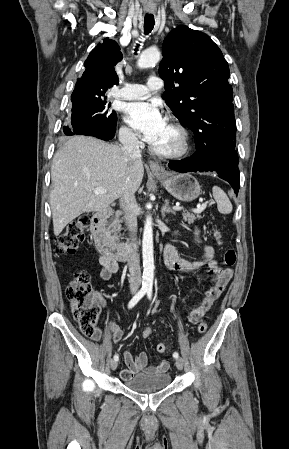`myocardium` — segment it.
Instances as JSON below:
<instances>
[{"label": "myocardium", "instance_id": "myocardium-1", "mask_svg": "<svg viewBox=\"0 0 289 449\" xmlns=\"http://www.w3.org/2000/svg\"><path fill=\"white\" fill-rule=\"evenodd\" d=\"M167 124L176 131V133L179 136V145L176 149L172 150V151H160L158 149H156L155 147H153L152 145L150 146V151L160 157V158H164V159H177V158H181L183 156H185L186 154H188L189 150H190V136L189 133L187 131V129L177 120L170 118L167 121Z\"/></svg>", "mask_w": 289, "mask_h": 449}]
</instances>
